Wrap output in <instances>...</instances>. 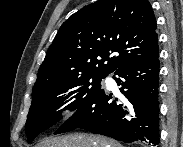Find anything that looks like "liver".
I'll list each match as a JSON object with an SVG mask.
<instances>
[{"mask_svg":"<svg viewBox=\"0 0 183 147\" xmlns=\"http://www.w3.org/2000/svg\"><path fill=\"white\" fill-rule=\"evenodd\" d=\"M36 147H121V145L101 136L72 134L44 139Z\"/></svg>","mask_w":183,"mask_h":147,"instance_id":"obj_1","label":"liver"}]
</instances>
